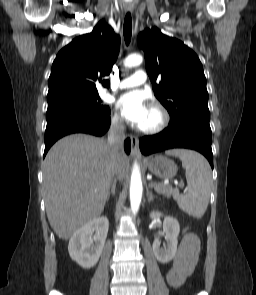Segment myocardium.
Wrapping results in <instances>:
<instances>
[{
  "label": "myocardium",
  "mask_w": 256,
  "mask_h": 295,
  "mask_svg": "<svg viewBox=\"0 0 256 295\" xmlns=\"http://www.w3.org/2000/svg\"><path fill=\"white\" fill-rule=\"evenodd\" d=\"M150 109L153 110L157 115V121L155 124L148 127H139V130L145 134H155L161 132L169 123V114L164 107L159 103H153L150 106Z\"/></svg>",
  "instance_id": "1"
}]
</instances>
